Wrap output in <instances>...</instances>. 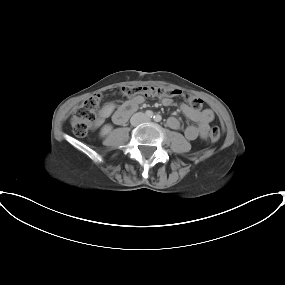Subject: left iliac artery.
<instances>
[{
	"instance_id": "1",
	"label": "left iliac artery",
	"mask_w": 285,
	"mask_h": 285,
	"mask_svg": "<svg viewBox=\"0 0 285 285\" xmlns=\"http://www.w3.org/2000/svg\"><path fill=\"white\" fill-rule=\"evenodd\" d=\"M153 118H154V120H155L156 122H159V121H161V119H162L161 116L158 115V114L155 115Z\"/></svg>"
}]
</instances>
